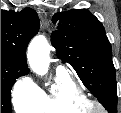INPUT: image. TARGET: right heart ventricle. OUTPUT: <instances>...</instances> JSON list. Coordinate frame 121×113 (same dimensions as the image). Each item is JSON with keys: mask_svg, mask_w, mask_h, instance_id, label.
Listing matches in <instances>:
<instances>
[{"mask_svg": "<svg viewBox=\"0 0 121 113\" xmlns=\"http://www.w3.org/2000/svg\"><path fill=\"white\" fill-rule=\"evenodd\" d=\"M87 96L67 73H57L55 82L48 90L35 86L30 101L17 105L19 113H59L64 109H78Z\"/></svg>", "mask_w": 121, "mask_h": 113, "instance_id": "e07e8e85", "label": "right heart ventricle"}]
</instances>
